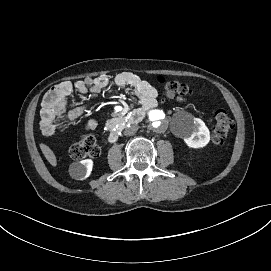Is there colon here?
<instances>
[{
  "mask_svg": "<svg viewBox=\"0 0 271 271\" xmlns=\"http://www.w3.org/2000/svg\"><path fill=\"white\" fill-rule=\"evenodd\" d=\"M162 84V93L165 97L174 101H183L192 95L191 89L176 81H165L158 78ZM234 128L233 118L224 110H219L215 114V121L212 132V142L222 144ZM70 156L74 160H81L86 157H97L100 154V148L96 140L91 136L82 138L79 142L73 144L69 150Z\"/></svg>",
  "mask_w": 271,
  "mask_h": 271,
  "instance_id": "colon-1",
  "label": "colon"
}]
</instances>
